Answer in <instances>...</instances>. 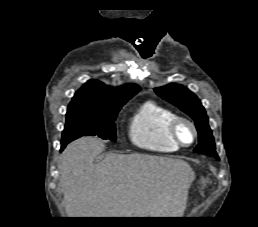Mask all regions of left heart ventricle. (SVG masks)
<instances>
[{"label": "left heart ventricle", "instance_id": "obj_1", "mask_svg": "<svg viewBox=\"0 0 258 227\" xmlns=\"http://www.w3.org/2000/svg\"><path fill=\"white\" fill-rule=\"evenodd\" d=\"M179 135L183 142L189 143L192 140V130L187 125H182L179 129Z\"/></svg>", "mask_w": 258, "mask_h": 227}]
</instances>
